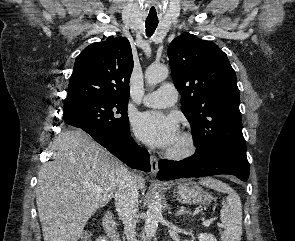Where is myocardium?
<instances>
[{
	"label": "myocardium",
	"instance_id": "myocardium-1",
	"mask_svg": "<svg viewBox=\"0 0 295 241\" xmlns=\"http://www.w3.org/2000/svg\"><path fill=\"white\" fill-rule=\"evenodd\" d=\"M179 139L181 146L177 148H170L166 155L174 160H186L192 158L199 149L198 140L194 133L185 131L180 134Z\"/></svg>",
	"mask_w": 295,
	"mask_h": 241
}]
</instances>
